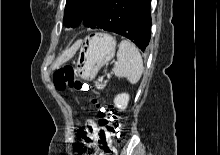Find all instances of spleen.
<instances>
[{"label": "spleen", "mask_w": 220, "mask_h": 155, "mask_svg": "<svg viewBox=\"0 0 220 155\" xmlns=\"http://www.w3.org/2000/svg\"><path fill=\"white\" fill-rule=\"evenodd\" d=\"M115 76L126 78L136 84L143 73L142 57L136 46L129 40H122L117 52V63L113 68Z\"/></svg>", "instance_id": "obj_1"}]
</instances>
